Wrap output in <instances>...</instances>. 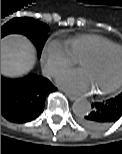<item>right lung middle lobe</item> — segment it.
Instances as JSON below:
<instances>
[{"label":"right lung middle lobe","instance_id":"right-lung-middle-lobe-1","mask_svg":"<svg viewBox=\"0 0 122 154\" xmlns=\"http://www.w3.org/2000/svg\"><path fill=\"white\" fill-rule=\"evenodd\" d=\"M49 27L28 17L14 18L1 27V38L10 33H20L27 36L36 46L40 57L47 40Z\"/></svg>","mask_w":122,"mask_h":154}]
</instances>
